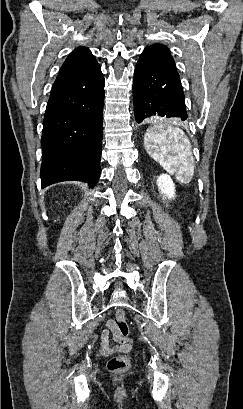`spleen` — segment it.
Instances as JSON below:
<instances>
[{
	"instance_id": "3e777b00",
	"label": "spleen",
	"mask_w": 243,
	"mask_h": 409,
	"mask_svg": "<svg viewBox=\"0 0 243 409\" xmlns=\"http://www.w3.org/2000/svg\"><path fill=\"white\" fill-rule=\"evenodd\" d=\"M148 154L164 170L175 174L181 183H189L194 175L191 143L183 130L165 122L149 127L144 136Z\"/></svg>"
}]
</instances>
